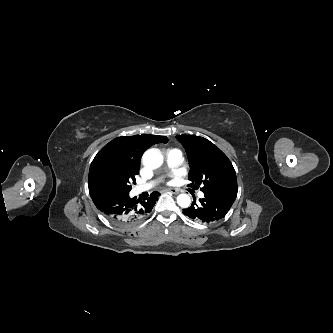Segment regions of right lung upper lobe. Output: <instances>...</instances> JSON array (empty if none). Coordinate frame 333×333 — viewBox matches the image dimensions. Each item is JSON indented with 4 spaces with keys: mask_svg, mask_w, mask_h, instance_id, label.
I'll return each mask as SVG.
<instances>
[{
    "mask_svg": "<svg viewBox=\"0 0 333 333\" xmlns=\"http://www.w3.org/2000/svg\"><path fill=\"white\" fill-rule=\"evenodd\" d=\"M167 141L168 139L165 136L148 134L117 137L106 144L97 153L94 160L103 157H114L139 169L140 159L145 150L153 144L167 143Z\"/></svg>",
    "mask_w": 333,
    "mask_h": 333,
    "instance_id": "obj_1",
    "label": "right lung upper lobe"
}]
</instances>
